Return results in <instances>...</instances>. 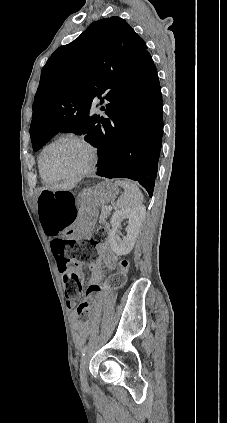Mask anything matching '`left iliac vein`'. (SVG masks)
I'll list each match as a JSON object with an SVG mask.
<instances>
[{
    "label": "left iliac vein",
    "instance_id": "4c4485c4",
    "mask_svg": "<svg viewBox=\"0 0 227 423\" xmlns=\"http://www.w3.org/2000/svg\"><path fill=\"white\" fill-rule=\"evenodd\" d=\"M86 362H87V355L83 356L80 363V383L84 390L88 388L87 376H86Z\"/></svg>",
    "mask_w": 227,
    "mask_h": 423
}]
</instances>
